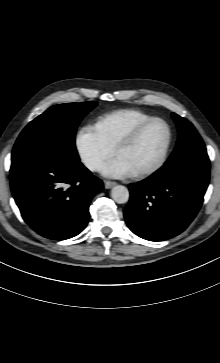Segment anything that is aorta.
Returning <instances> with one entry per match:
<instances>
[{
	"label": "aorta",
	"instance_id": "1",
	"mask_svg": "<svg viewBox=\"0 0 220 363\" xmlns=\"http://www.w3.org/2000/svg\"><path fill=\"white\" fill-rule=\"evenodd\" d=\"M111 197L116 203L123 204L129 200V191L125 186L117 185L112 188Z\"/></svg>",
	"mask_w": 220,
	"mask_h": 363
}]
</instances>
